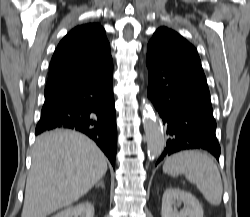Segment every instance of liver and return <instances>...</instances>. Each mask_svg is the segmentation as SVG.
I'll list each match as a JSON object with an SVG mask.
<instances>
[{"label": "liver", "instance_id": "liver-1", "mask_svg": "<svg viewBox=\"0 0 250 217\" xmlns=\"http://www.w3.org/2000/svg\"><path fill=\"white\" fill-rule=\"evenodd\" d=\"M107 171L98 146L83 134L55 130L35 143L21 217H46L85 195Z\"/></svg>", "mask_w": 250, "mask_h": 217}]
</instances>
